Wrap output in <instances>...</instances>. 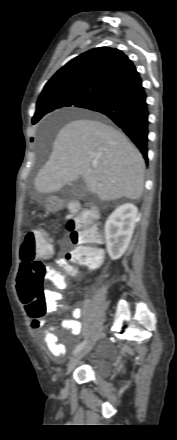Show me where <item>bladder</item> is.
I'll return each instance as SVG.
<instances>
[{
	"instance_id": "31cf9c89",
	"label": "bladder",
	"mask_w": 177,
	"mask_h": 440,
	"mask_svg": "<svg viewBox=\"0 0 177 440\" xmlns=\"http://www.w3.org/2000/svg\"><path fill=\"white\" fill-rule=\"evenodd\" d=\"M93 367L99 377L104 378L110 372L109 361L103 358H96L93 361Z\"/></svg>"
}]
</instances>
